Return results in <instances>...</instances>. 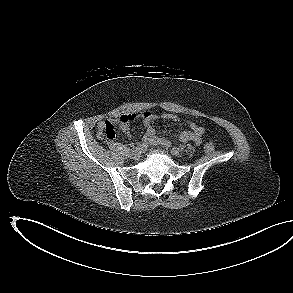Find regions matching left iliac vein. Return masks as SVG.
Returning <instances> with one entry per match:
<instances>
[{
	"label": "left iliac vein",
	"mask_w": 293,
	"mask_h": 293,
	"mask_svg": "<svg viewBox=\"0 0 293 293\" xmlns=\"http://www.w3.org/2000/svg\"><path fill=\"white\" fill-rule=\"evenodd\" d=\"M171 153H172V155H174V156H180V155H181V151H180V149L177 148V147H173V148L171 149Z\"/></svg>",
	"instance_id": "1"
}]
</instances>
